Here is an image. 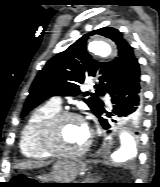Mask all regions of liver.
Returning a JSON list of instances; mask_svg holds the SVG:
<instances>
[{
    "mask_svg": "<svg viewBox=\"0 0 160 187\" xmlns=\"http://www.w3.org/2000/svg\"><path fill=\"white\" fill-rule=\"evenodd\" d=\"M44 164L43 163H40V162H30V161H27V162H23V163H20L18 165L19 168L21 169H31V168H35V167H38V166H43Z\"/></svg>",
    "mask_w": 160,
    "mask_h": 187,
    "instance_id": "obj_1",
    "label": "liver"
}]
</instances>
